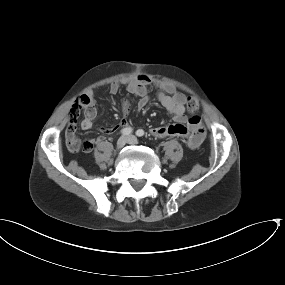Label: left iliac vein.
<instances>
[{"label":"left iliac vein","instance_id":"left-iliac-vein-1","mask_svg":"<svg viewBox=\"0 0 285 285\" xmlns=\"http://www.w3.org/2000/svg\"><path fill=\"white\" fill-rule=\"evenodd\" d=\"M127 143L128 144H137V139L135 136L131 135L127 137Z\"/></svg>","mask_w":285,"mask_h":285}]
</instances>
